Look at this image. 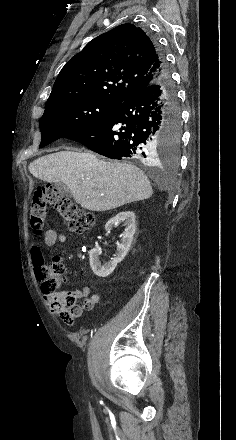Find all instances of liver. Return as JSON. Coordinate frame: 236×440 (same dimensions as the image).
<instances>
[{"instance_id":"6515ba94","label":"liver","mask_w":236,"mask_h":440,"mask_svg":"<svg viewBox=\"0 0 236 440\" xmlns=\"http://www.w3.org/2000/svg\"><path fill=\"white\" fill-rule=\"evenodd\" d=\"M29 171L42 181L65 183L76 203L90 211H108L153 194L139 168L100 160L91 152L51 153L30 163Z\"/></svg>"}]
</instances>
